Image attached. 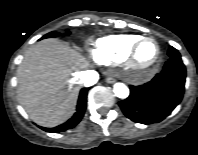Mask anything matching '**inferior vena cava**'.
<instances>
[{
  "label": "inferior vena cava",
  "mask_w": 198,
  "mask_h": 155,
  "mask_svg": "<svg viewBox=\"0 0 198 155\" xmlns=\"http://www.w3.org/2000/svg\"><path fill=\"white\" fill-rule=\"evenodd\" d=\"M80 78L85 85L91 86L98 81L99 75L96 71L87 70L80 74Z\"/></svg>",
  "instance_id": "1"
}]
</instances>
